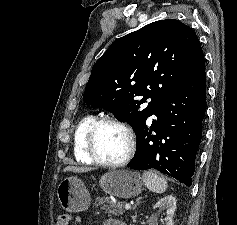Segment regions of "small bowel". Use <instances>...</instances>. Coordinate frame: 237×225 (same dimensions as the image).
<instances>
[{
    "mask_svg": "<svg viewBox=\"0 0 237 225\" xmlns=\"http://www.w3.org/2000/svg\"><path fill=\"white\" fill-rule=\"evenodd\" d=\"M104 225H125L123 222L117 219H110L105 222Z\"/></svg>",
    "mask_w": 237,
    "mask_h": 225,
    "instance_id": "small-bowel-1",
    "label": "small bowel"
}]
</instances>
